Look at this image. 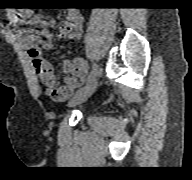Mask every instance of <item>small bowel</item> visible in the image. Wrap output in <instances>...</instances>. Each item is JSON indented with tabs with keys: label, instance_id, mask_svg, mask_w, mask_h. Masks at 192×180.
Instances as JSON below:
<instances>
[{
	"label": "small bowel",
	"instance_id": "obj_1",
	"mask_svg": "<svg viewBox=\"0 0 192 180\" xmlns=\"http://www.w3.org/2000/svg\"><path fill=\"white\" fill-rule=\"evenodd\" d=\"M25 20H29L32 25L37 26V29L21 31V34L25 35L23 43L28 51L35 73L52 99L64 101L84 82L87 63L82 58L64 61L62 69L66 79L63 84H60L54 74L52 64L44 58L41 52V48L45 50L53 48L49 26L54 25L55 20L41 22L31 9L17 10L13 14L12 23L14 25H21ZM83 23L84 18L80 11L77 9L69 10L67 21L60 31L61 37L68 41L80 39L83 33Z\"/></svg>",
	"mask_w": 192,
	"mask_h": 180
}]
</instances>
